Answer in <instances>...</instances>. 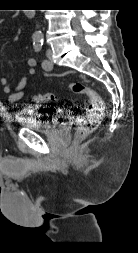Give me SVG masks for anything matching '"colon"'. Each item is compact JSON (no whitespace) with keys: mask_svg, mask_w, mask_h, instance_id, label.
<instances>
[{"mask_svg":"<svg viewBox=\"0 0 138 253\" xmlns=\"http://www.w3.org/2000/svg\"><path fill=\"white\" fill-rule=\"evenodd\" d=\"M70 90L75 94L85 95L89 101L87 107L78 116L76 138L83 139L99 126L104 116V102L97 92L80 81L72 82ZM33 99L39 104H47L55 102L56 96L52 92L38 93L33 96Z\"/></svg>","mask_w":138,"mask_h":253,"instance_id":"colon-1","label":"colon"}]
</instances>
